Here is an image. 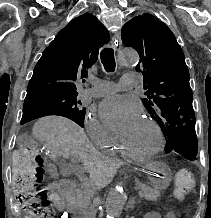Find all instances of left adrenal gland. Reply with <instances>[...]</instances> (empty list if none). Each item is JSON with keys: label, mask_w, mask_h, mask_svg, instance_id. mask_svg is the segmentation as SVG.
<instances>
[{"label": "left adrenal gland", "mask_w": 211, "mask_h": 218, "mask_svg": "<svg viewBox=\"0 0 211 218\" xmlns=\"http://www.w3.org/2000/svg\"><path fill=\"white\" fill-rule=\"evenodd\" d=\"M131 200V208L133 210V208H135L136 204H140V202H136V198L134 196V198H130Z\"/></svg>", "instance_id": "1"}]
</instances>
